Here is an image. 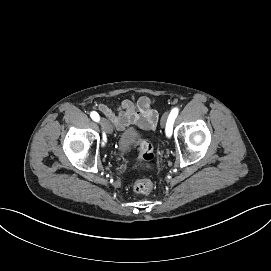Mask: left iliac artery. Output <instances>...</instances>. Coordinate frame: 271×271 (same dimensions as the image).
I'll return each mask as SVG.
<instances>
[{"mask_svg": "<svg viewBox=\"0 0 271 271\" xmlns=\"http://www.w3.org/2000/svg\"><path fill=\"white\" fill-rule=\"evenodd\" d=\"M178 111H179L178 108H173L169 114L167 125H166V135H168V138H169V135H171L173 123H174L175 118L178 115Z\"/></svg>", "mask_w": 271, "mask_h": 271, "instance_id": "left-iliac-artery-1", "label": "left iliac artery"}]
</instances>
